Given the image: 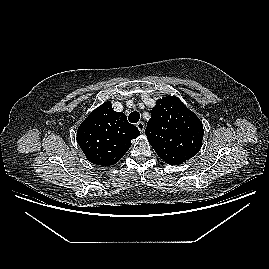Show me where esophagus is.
Listing matches in <instances>:
<instances>
[{
	"mask_svg": "<svg viewBox=\"0 0 269 269\" xmlns=\"http://www.w3.org/2000/svg\"><path fill=\"white\" fill-rule=\"evenodd\" d=\"M136 126H137V128L139 129V131L141 132V133H143L144 132V128H145V124L143 123V122H138L137 124H136Z\"/></svg>",
	"mask_w": 269,
	"mask_h": 269,
	"instance_id": "obj_1",
	"label": "esophagus"
}]
</instances>
